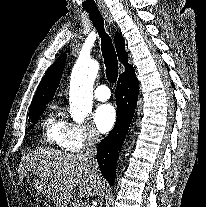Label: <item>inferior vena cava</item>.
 Here are the masks:
<instances>
[{
	"instance_id": "inferior-vena-cava-1",
	"label": "inferior vena cava",
	"mask_w": 206,
	"mask_h": 207,
	"mask_svg": "<svg viewBox=\"0 0 206 207\" xmlns=\"http://www.w3.org/2000/svg\"><path fill=\"white\" fill-rule=\"evenodd\" d=\"M98 134L92 130L83 145V149L80 152V156L82 159L88 162L89 169L92 171L95 179H99L100 173H99V167L96 159V145L98 143ZM100 196H102V193H99ZM101 200V198H100ZM89 207V206H88ZM101 207V206H99Z\"/></svg>"
}]
</instances>
